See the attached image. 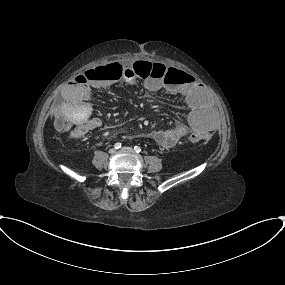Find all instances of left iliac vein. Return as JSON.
Returning a JSON list of instances; mask_svg holds the SVG:
<instances>
[{"label": "left iliac vein", "mask_w": 285, "mask_h": 285, "mask_svg": "<svg viewBox=\"0 0 285 285\" xmlns=\"http://www.w3.org/2000/svg\"><path fill=\"white\" fill-rule=\"evenodd\" d=\"M122 150H124V151H132L133 149L131 147H123Z\"/></svg>", "instance_id": "left-iliac-vein-1"}]
</instances>
